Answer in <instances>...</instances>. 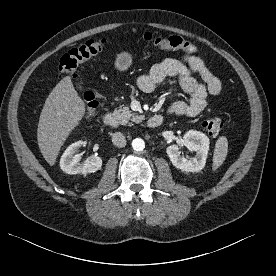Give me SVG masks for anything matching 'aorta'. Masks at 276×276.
Listing matches in <instances>:
<instances>
[{"mask_svg": "<svg viewBox=\"0 0 276 276\" xmlns=\"http://www.w3.org/2000/svg\"><path fill=\"white\" fill-rule=\"evenodd\" d=\"M132 148L135 150V151H143L144 148H145V142L143 139L141 138H135L133 141H132Z\"/></svg>", "mask_w": 276, "mask_h": 276, "instance_id": "obj_1", "label": "aorta"}]
</instances>
